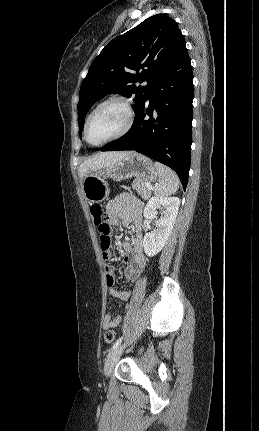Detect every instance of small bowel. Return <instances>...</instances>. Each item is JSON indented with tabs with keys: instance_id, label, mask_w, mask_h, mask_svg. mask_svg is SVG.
Returning <instances> with one entry per match:
<instances>
[{
	"instance_id": "1",
	"label": "small bowel",
	"mask_w": 259,
	"mask_h": 431,
	"mask_svg": "<svg viewBox=\"0 0 259 431\" xmlns=\"http://www.w3.org/2000/svg\"><path fill=\"white\" fill-rule=\"evenodd\" d=\"M142 203L132 194L123 193L110 200L106 206L107 219L109 223L118 225L122 223L125 226H131L134 232V238L131 242L124 241L123 249L127 255L123 259L128 281L135 284L141 275L145 265L146 257L144 254L143 235H142ZM107 284L109 286V296L119 302H127L131 296L130 291L118 290L114 287V271L112 264L105 267ZM121 322L120 316H112L107 312L103 319V328H115Z\"/></svg>"
}]
</instances>
